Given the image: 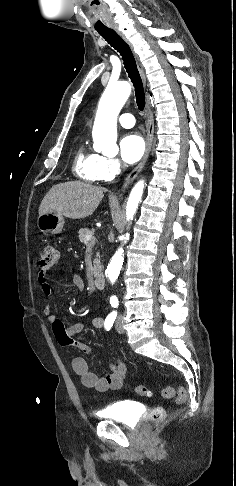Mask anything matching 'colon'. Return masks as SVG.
I'll return each mask as SVG.
<instances>
[{
    "label": "colon",
    "instance_id": "5ec220e1",
    "mask_svg": "<svg viewBox=\"0 0 236 486\" xmlns=\"http://www.w3.org/2000/svg\"><path fill=\"white\" fill-rule=\"evenodd\" d=\"M59 260V251L52 245H46L42 248L39 258V266L42 270H49L54 267ZM135 392L139 396H149L150 391L143 385H138ZM161 395L163 398H175L178 404H182L187 399V392L181 385H168L162 389ZM166 412L162 407H154L147 418L146 427L149 428L154 424L160 423L164 420Z\"/></svg>",
    "mask_w": 236,
    "mask_h": 486
}]
</instances>
